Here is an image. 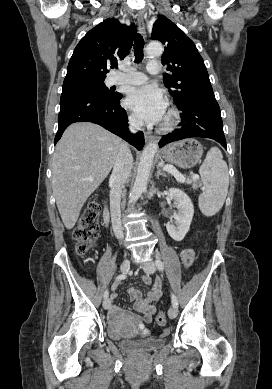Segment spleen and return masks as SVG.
Here are the masks:
<instances>
[{"label": "spleen", "instance_id": "1", "mask_svg": "<svg viewBox=\"0 0 272 389\" xmlns=\"http://www.w3.org/2000/svg\"><path fill=\"white\" fill-rule=\"evenodd\" d=\"M204 185L198 203L206 216L215 215L223 206L228 193L229 174L227 163L217 147H212L199 169Z\"/></svg>", "mask_w": 272, "mask_h": 389}]
</instances>
